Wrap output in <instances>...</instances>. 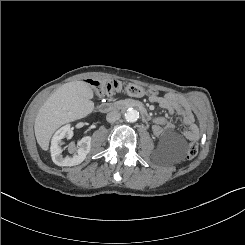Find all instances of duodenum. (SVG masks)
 Segmentation results:
<instances>
[{
	"instance_id": "duodenum-1",
	"label": "duodenum",
	"mask_w": 245,
	"mask_h": 245,
	"mask_svg": "<svg viewBox=\"0 0 245 245\" xmlns=\"http://www.w3.org/2000/svg\"><path fill=\"white\" fill-rule=\"evenodd\" d=\"M128 107L138 109L142 115L143 120L148 121L150 119V116H149L148 111L145 108V106L139 102H136V101L104 103L101 105V111L102 112H111V111L117 110L119 108H128Z\"/></svg>"
}]
</instances>
